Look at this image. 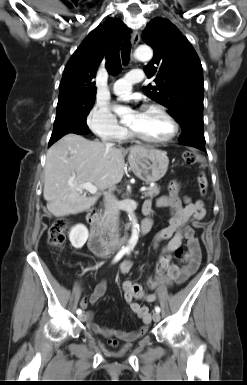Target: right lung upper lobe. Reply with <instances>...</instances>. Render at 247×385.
Wrapping results in <instances>:
<instances>
[{
	"label": "right lung upper lobe",
	"instance_id": "1",
	"mask_svg": "<svg viewBox=\"0 0 247 385\" xmlns=\"http://www.w3.org/2000/svg\"><path fill=\"white\" fill-rule=\"evenodd\" d=\"M130 29L120 20L109 18L83 40L68 61L59 89V95L79 94L95 96L97 67L104 59L110 73L120 71L119 49Z\"/></svg>",
	"mask_w": 247,
	"mask_h": 385
}]
</instances>
